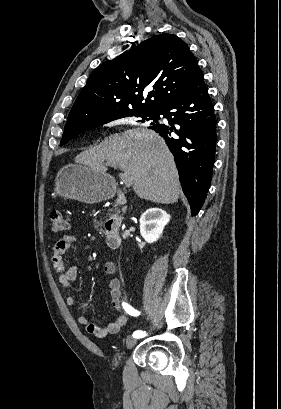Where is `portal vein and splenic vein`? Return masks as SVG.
I'll return each instance as SVG.
<instances>
[{
    "instance_id": "portal-vein-and-splenic-vein-1",
    "label": "portal vein and splenic vein",
    "mask_w": 281,
    "mask_h": 409,
    "mask_svg": "<svg viewBox=\"0 0 281 409\" xmlns=\"http://www.w3.org/2000/svg\"><path fill=\"white\" fill-rule=\"evenodd\" d=\"M106 164H108V166H114V164H112V162H106ZM119 176H120L123 184L125 185L126 190L134 188L135 184H134L133 176H130V174H127V172H120Z\"/></svg>"
}]
</instances>
